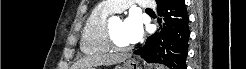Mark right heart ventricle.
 <instances>
[{"mask_svg": "<svg viewBox=\"0 0 246 69\" xmlns=\"http://www.w3.org/2000/svg\"><path fill=\"white\" fill-rule=\"evenodd\" d=\"M115 11L106 1L96 6L88 16L81 38V51L86 54H103L110 51L107 41L108 18Z\"/></svg>", "mask_w": 246, "mask_h": 69, "instance_id": "right-heart-ventricle-1", "label": "right heart ventricle"}]
</instances>
